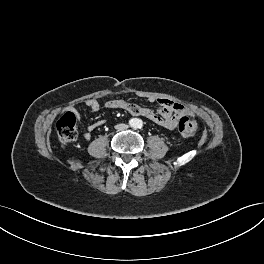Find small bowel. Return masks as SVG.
I'll return each instance as SVG.
<instances>
[{
  "instance_id": "small-bowel-1",
  "label": "small bowel",
  "mask_w": 264,
  "mask_h": 264,
  "mask_svg": "<svg viewBox=\"0 0 264 264\" xmlns=\"http://www.w3.org/2000/svg\"><path fill=\"white\" fill-rule=\"evenodd\" d=\"M148 100L150 102H154L157 100L161 107L157 111H154L150 108L142 107L124 100H111L108 101L105 106L108 108H121L126 110L130 114L143 116L151 120L155 124L170 130H173L177 127L180 117L192 114L188 107L169 99H156L154 97H149ZM86 105L93 113H96L101 109V104L96 99H88L86 101ZM102 123L103 121H99L97 123L89 125L84 134L85 139L90 140L91 133Z\"/></svg>"
}]
</instances>
